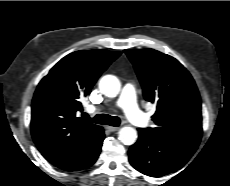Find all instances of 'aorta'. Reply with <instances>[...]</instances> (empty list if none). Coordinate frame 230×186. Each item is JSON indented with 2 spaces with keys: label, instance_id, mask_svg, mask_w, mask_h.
<instances>
[{
  "label": "aorta",
  "instance_id": "762f6f07",
  "mask_svg": "<svg viewBox=\"0 0 230 186\" xmlns=\"http://www.w3.org/2000/svg\"><path fill=\"white\" fill-rule=\"evenodd\" d=\"M102 94L107 97H116L119 94L121 84L119 79L113 75H105L99 81ZM137 131L133 127L125 126L119 131V140L124 145H132L136 142Z\"/></svg>",
  "mask_w": 230,
  "mask_h": 186
}]
</instances>
